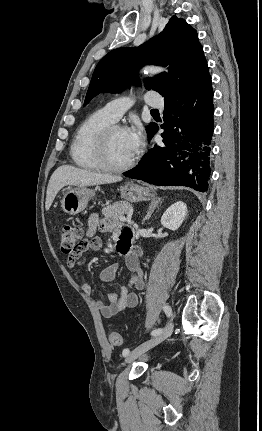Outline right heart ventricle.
Masks as SVG:
<instances>
[{"instance_id":"obj_1","label":"right heart ventricle","mask_w":262,"mask_h":431,"mask_svg":"<svg viewBox=\"0 0 262 431\" xmlns=\"http://www.w3.org/2000/svg\"><path fill=\"white\" fill-rule=\"evenodd\" d=\"M114 122L104 109H100L80 124L70 147V155L76 166L90 171L102 169L96 158L98 136Z\"/></svg>"}]
</instances>
